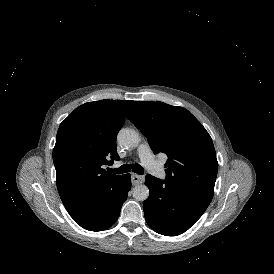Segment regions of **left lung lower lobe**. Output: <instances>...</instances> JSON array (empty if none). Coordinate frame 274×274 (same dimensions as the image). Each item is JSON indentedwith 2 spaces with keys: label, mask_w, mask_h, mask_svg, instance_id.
Listing matches in <instances>:
<instances>
[{
  "label": "left lung lower lobe",
  "mask_w": 274,
  "mask_h": 274,
  "mask_svg": "<svg viewBox=\"0 0 274 274\" xmlns=\"http://www.w3.org/2000/svg\"><path fill=\"white\" fill-rule=\"evenodd\" d=\"M145 184L150 190L143 202L147 224L157 233L176 236L189 229L205 212L213 195L151 175Z\"/></svg>",
  "instance_id": "0a47b994"
}]
</instances>
